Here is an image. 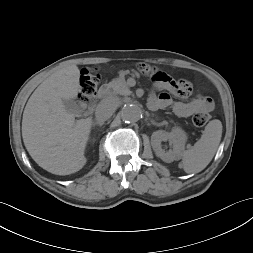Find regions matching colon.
I'll list each match as a JSON object with an SVG mask.
<instances>
[{"mask_svg":"<svg viewBox=\"0 0 253 253\" xmlns=\"http://www.w3.org/2000/svg\"><path fill=\"white\" fill-rule=\"evenodd\" d=\"M139 72L144 76H150L153 79H159L163 76V72H161L158 68L153 67L149 64H139L138 65ZM99 82L98 74L93 70L84 69L81 72L80 76V94L79 98L84 103L93 102ZM210 119V114L208 112H198L193 116V124L197 127L205 126Z\"/></svg>","mask_w":253,"mask_h":253,"instance_id":"colon-1","label":"colon"}]
</instances>
